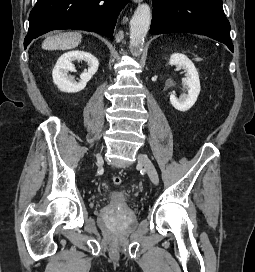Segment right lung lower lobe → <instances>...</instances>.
<instances>
[{"label":"right lung lower lobe","mask_w":255,"mask_h":272,"mask_svg":"<svg viewBox=\"0 0 255 272\" xmlns=\"http://www.w3.org/2000/svg\"><path fill=\"white\" fill-rule=\"evenodd\" d=\"M129 0H38L29 16L24 47L56 29L92 31L113 40L117 17Z\"/></svg>","instance_id":"obj_1"}]
</instances>
